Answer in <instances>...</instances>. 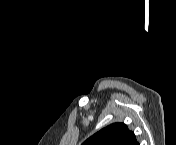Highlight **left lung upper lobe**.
Listing matches in <instances>:
<instances>
[{"label": "left lung upper lobe", "instance_id": "obj_1", "mask_svg": "<svg viewBox=\"0 0 176 145\" xmlns=\"http://www.w3.org/2000/svg\"><path fill=\"white\" fill-rule=\"evenodd\" d=\"M83 145H139L124 123H113L88 138Z\"/></svg>", "mask_w": 176, "mask_h": 145}]
</instances>
